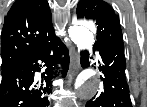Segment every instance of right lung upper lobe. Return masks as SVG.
Returning a JSON list of instances; mask_svg holds the SVG:
<instances>
[{
	"instance_id": "obj_1",
	"label": "right lung upper lobe",
	"mask_w": 147,
	"mask_h": 107,
	"mask_svg": "<svg viewBox=\"0 0 147 107\" xmlns=\"http://www.w3.org/2000/svg\"><path fill=\"white\" fill-rule=\"evenodd\" d=\"M55 36L46 0H16L1 33V69L22 60Z\"/></svg>"
}]
</instances>
